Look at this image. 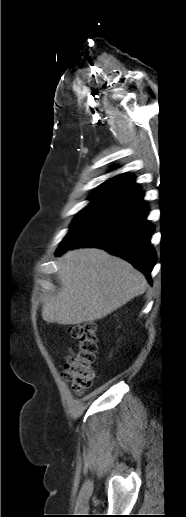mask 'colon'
<instances>
[{"instance_id": "obj_1", "label": "colon", "mask_w": 186, "mask_h": 517, "mask_svg": "<svg viewBox=\"0 0 186 517\" xmlns=\"http://www.w3.org/2000/svg\"><path fill=\"white\" fill-rule=\"evenodd\" d=\"M70 335L78 341L79 349L66 362L62 376L71 383L74 391L81 393L90 388L95 376L94 360L97 351V327L87 322L68 327Z\"/></svg>"}]
</instances>
